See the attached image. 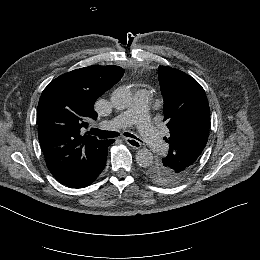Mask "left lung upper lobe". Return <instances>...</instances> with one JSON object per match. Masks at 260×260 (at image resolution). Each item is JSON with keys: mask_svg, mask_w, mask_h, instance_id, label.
<instances>
[{"mask_svg": "<svg viewBox=\"0 0 260 260\" xmlns=\"http://www.w3.org/2000/svg\"><path fill=\"white\" fill-rule=\"evenodd\" d=\"M164 97V120L170 130L169 153L146 169V176L159 184L172 185L185 179L198 164L209 134V104L202 86L184 72L159 66Z\"/></svg>", "mask_w": 260, "mask_h": 260, "instance_id": "5c2ea615", "label": "left lung upper lobe"}]
</instances>
